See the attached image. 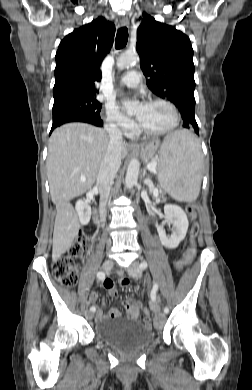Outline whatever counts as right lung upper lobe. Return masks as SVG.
<instances>
[{
	"mask_svg": "<svg viewBox=\"0 0 252 390\" xmlns=\"http://www.w3.org/2000/svg\"><path fill=\"white\" fill-rule=\"evenodd\" d=\"M115 25L103 17L75 29L56 53L54 101L77 95H96L100 64L110 51Z\"/></svg>",
	"mask_w": 252,
	"mask_h": 390,
	"instance_id": "right-lung-upper-lobe-1",
	"label": "right lung upper lobe"
}]
</instances>
